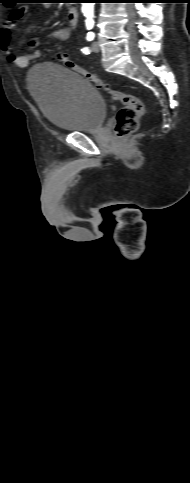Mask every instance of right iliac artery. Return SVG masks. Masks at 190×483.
<instances>
[{"instance_id": "82829eb1", "label": "right iliac artery", "mask_w": 190, "mask_h": 483, "mask_svg": "<svg viewBox=\"0 0 190 483\" xmlns=\"http://www.w3.org/2000/svg\"><path fill=\"white\" fill-rule=\"evenodd\" d=\"M86 27L88 30L92 29L93 28V23H87L86 24Z\"/></svg>"}]
</instances>
